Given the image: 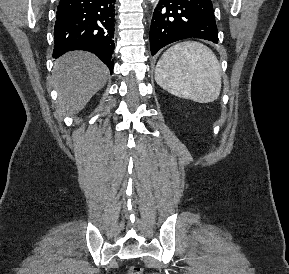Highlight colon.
<instances>
[{"mask_svg":"<svg viewBox=\"0 0 289 274\" xmlns=\"http://www.w3.org/2000/svg\"><path fill=\"white\" fill-rule=\"evenodd\" d=\"M127 274H143V268L139 266H131L129 267Z\"/></svg>","mask_w":289,"mask_h":274,"instance_id":"colon-1","label":"colon"}]
</instances>
